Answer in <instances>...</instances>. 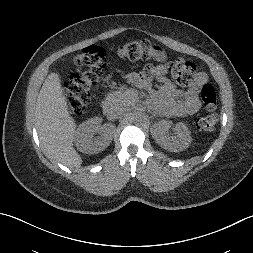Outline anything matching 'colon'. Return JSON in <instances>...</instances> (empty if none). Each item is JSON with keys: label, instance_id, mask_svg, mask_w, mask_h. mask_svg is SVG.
Wrapping results in <instances>:
<instances>
[{"label": "colon", "instance_id": "1", "mask_svg": "<svg viewBox=\"0 0 253 253\" xmlns=\"http://www.w3.org/2000/svg\"><path fill=\"white\" fill-rule=\"evenodd\" d=\"M117 53L121 58L131 61L151 60L159 59L161 48L150 41L141 40L120 46ZM74 64L75 69L64 82V88L72 112L82 115L91 102L92 88L104 75L106 52L99 46H89L74 57ZM165 68L180 86H189L202 80L196 65L182 58L168 62ZM201 98L207 105L208 113L197 120L196 126L200 131L210 132L218 122L214 87L205 84L201 90Z\"/></svg>", "mask_w": 253, "mask_h": 253}]
</instances>
